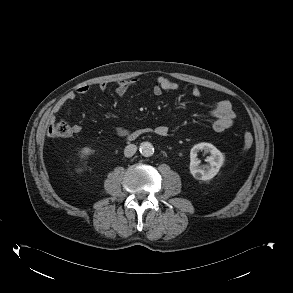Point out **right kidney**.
<instances>
[{"instance_id":"right-kidney-1","label":"right kidney","mask_w":293,"mask_h":293,"mask_svg":"<svg viewBox=\"0 0 293 293\" xmlns=\"http://www.w3.org/2000/svg\"><path fill=\"white\" fill-rule=\"evenodd\" d=\"M91 149L88 147H84L83 149H81L80 151V157L82 159H86L88 157V155L90 154Z\"/></svg>"}]
</instances>
